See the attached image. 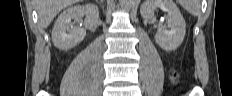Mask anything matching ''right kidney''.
Returning a JSON list of instances; mask_svg holds the SVG:
<instances>
[{"label":"right kidney","instance_id":"1","mask_svg":"<svg viewBox=\"0 0 232 96\" xmlns=\"http://www.w3.org/2000/svg\"><path fill=\"white\" fill-rule=\"evenodd\" d=\"M84 15L85 28L92 27L99 17L97 6L86 4L73 6L64 10L57 18L52 31V41L61 50H68L78 45L85 37L86 30L73 27L71 20L81 19Z\"/></svg>","mask_w":232,"mask_h":96}]
</instances>
